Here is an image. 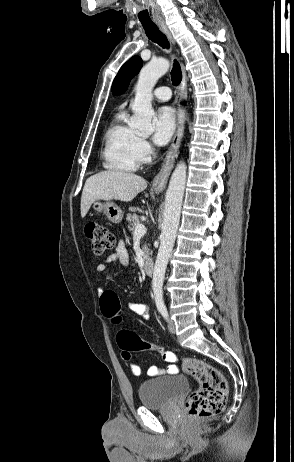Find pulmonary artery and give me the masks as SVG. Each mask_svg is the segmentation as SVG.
<instances>
[{"label": "pulmonary artery", "instance_id": "obj_1", "mask_svg": "<svg viewBox=\"0 0 294 462\" xmlns=\"http://www.w3.org/2000/svg\"><path fill=\"white\" fill-rule=\"evenodd\" d=\"M154 97L159 101H167L172 96V91L169 87H158L153 91Z\"/></svg>", "mask_w": 294, "mask_h": 462}]
</instances>
